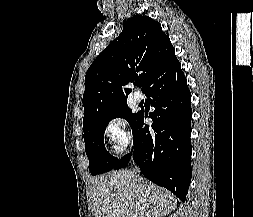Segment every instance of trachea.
<instances>
[{
    "instance_id": "3493384b",
    "label": "trachea",
    "mask_w": 253,
    "mask_h": 217,
    "mask_svg": "<svg viewBox=\"0 0 253 217\" xmlns=\"http://www.w3.org/2000/svg\"><path fill=\"white\" fill-rule=\"evenodd\" d=\"M137 84L139 85V84H140V81H137Z\"/></svg>"
}]
</instances>
